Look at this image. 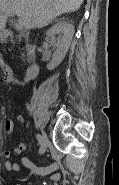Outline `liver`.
<instances>
[{"label": "liver", "instance_id": "6515ba94", "mask_svg": "<svg viewBox=\"0 0 119 185\" xmlns=\"http://www.w3.org/2000/svg\"><path fill=\"white\" fill-rule=\"evenodd\" d=\"M84 0H0V30L6 26L7 14L17 15L24 27L42 28L56 17L78 10Z\"/></svg>", "mask_w": 119, "mask_h": 185}]
</instances>
